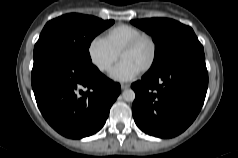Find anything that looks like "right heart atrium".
Masks as SVG:
<instances>
[{
    "label": "right heart atrium",
    "instance_id": "d8ad5b80",
    "mask_svg": "<svg viewBox=\"0 0 238 158\" xmlns=\"http://www.w3.org/2000/svg\"><path fill=\"white\" fill-rule=\"evenodd\" d=\"M88 55L92 64L101 72H108L119 58V54L99 36L90 41Z\"/></svg>",
    "mask_w": 238,
    "mask_h": 158
}]
</instances>
